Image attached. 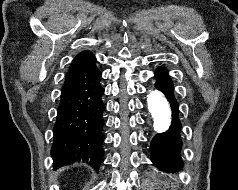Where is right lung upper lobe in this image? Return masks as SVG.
I'll return each instance as SVG.
<instances>
[{
    "label": "right lung upper lobe",
    "mask_w": 238,
    "mask_h": 190,
    "mask_svg": "<svg viewBox=\"0 0 238 190\" xmlns=\"http://www.w3.org/2000/svg\"><path fill=\"white\" fill-rule=\"evenodd\" d=\"M94 58V55L88 50L81 52L72 61L69 71L66 75L71 74L72 72H75L76 70L80 69L84 64L93 60Z\"/></svg>",
    "instance_id": "cb5924a9"
}]
</instances>
